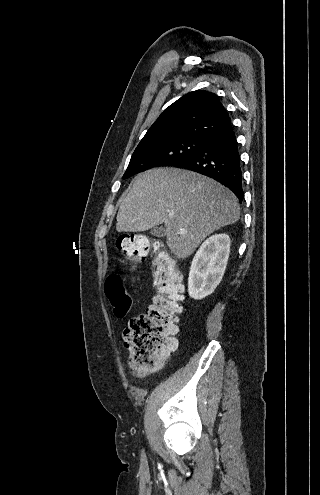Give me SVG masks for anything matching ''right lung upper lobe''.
<instances>
[{
    "label": "right lung upper lobe",
    "mask_w": 320,
    "mask_h": 495,
    "mask_svg": "<svg viewBox=\"0 0 320 495\" xmlns=\"http://www.w3.org/2000/svg\"><path fill=\"white\" fill-rule=\"evenodd\" d=\"M229 124L231 119L219 97L205 90H196L167 107L148 129L138 146L185 138L206 139Z\"/></svg>",
    "instance_id": "right-lung-upper-lobe-1"
}]
</instances>
